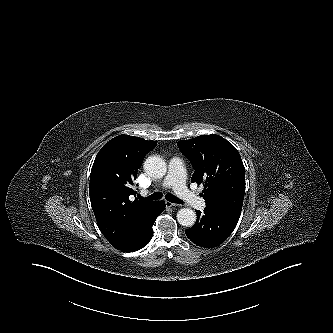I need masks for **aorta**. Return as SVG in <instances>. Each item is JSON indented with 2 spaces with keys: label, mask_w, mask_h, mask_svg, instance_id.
Returning <instances> with one entry per match:
<instances>
[{
  "label": "aorta",
  "mask_w": 333,
  "mask_h": 333,
  "mask_svg": "<svg viewBox=\"0 0 333 333\" xmlns=\"http://www.w3.org/2000/svg\"><path fill=\"white\" fill-rule=\"evenodd\" d=\"M145 172L153 178H162L167 171V166L160 156H150L144 162ZM177 221L182 226H193L196 221V214L189 208H182L177 212Z\"/></svg>",
  "instance_id": "1"
}]
</instances>
